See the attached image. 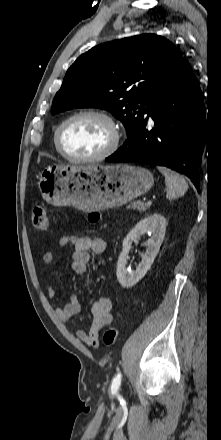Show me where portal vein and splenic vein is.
Segmentation results:
<instances>
[{"mask_svg":"<svg viewBox=\"0 0 221 440\" xmlns=\"http://www.w3.org/2000/svg\"><path fill=\"white\" fill-rule=\"evenodd\" d=\"M147 203H148V204H151V203H152V200L147 201Z\"/></svg>","mask_w":221,"mask_h":440,"instance_id":"18ae733b","label":"portal vein and splenic vein"}]
</instances>
